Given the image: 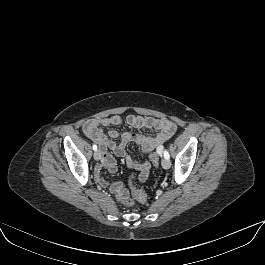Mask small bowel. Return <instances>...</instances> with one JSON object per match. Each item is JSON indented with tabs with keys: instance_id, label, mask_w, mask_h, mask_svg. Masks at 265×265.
Wrapping results in <instances>:
<instances>
[{
	"instance_id": "c3829d8e",
	"label": "small bowel",
	"mask_w": 265,
	"mask_h": 265,
	"mask_svg": "<svg viewBox=\"0 0 265 265\" xmlns=\"http://www.w3.org/2000/svg\"><path fill=\"white\" fill-rule=\"evenodd\" d=\"M123 118L119 115H112L102 118H94L86 121L82 130L85 136L90 140L96 142L102 149V166L107 168L109 172L116 171V163L111 154L106 152L107 149L111 150L116 156L124 158L126 165L133 170L139 171L138 180L143 183L147 180L151 165L148 161H138L132 156L128 155L125 147L130 143H136L140 146L141 152L151 154L167 139H169L176 131L175 123L165 118H156L151 116L129 115L126 122L138 129H153L156 131L154 136H143L131 132H125L121 136V141L116 143L113 139L118 138L119 133L115 129H111L107 136L100 129L101 126H118L122 124ZM95 177L97 182L106 187L107 182L101 176V168L98 166L95 170Z\"/></svg>"
}]
</instances>
